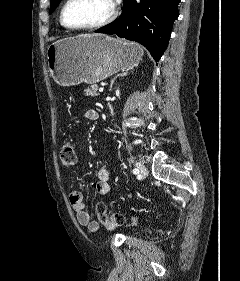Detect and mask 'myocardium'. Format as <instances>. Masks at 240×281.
I'll use <instances>...</instances> for the list:
<instances>
[{
	"instance_id": "1",
	"label": "myocardium",
	"mask_w": 240,
	"mask_h": 281,
	"mask_svg": "<svg viewBox=\"0 0 240 281\" xmlns=\"http://www.w3.org/2000/svg\"><path fill=\"white\" fill-rule=\"evenodd\" d=\"M70 2H71V0H66L65 3L62 6L61 12H60V22H61V24L65 28L70 29V30H88V29L100 28V27H103V26L111 23L117 15L116 2L114 0H111V5H112L111 12L103 20L98 21L96 23L87 24V25H80V26L69 25L65 20V10H66V8H67V6Z\"/></svg>"
}]
</instances>
